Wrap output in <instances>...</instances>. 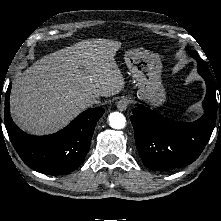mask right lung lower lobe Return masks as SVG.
Segmentation results:
<instances>
[{"mask_svg": "<svg viewBox=\"0 0 221 221\" xmlns=\"http://www.w3.org/2000/svg\"><path fill=\"white\" fill-rule=\"evenodd\" d=\"M10 90L11 84L5 96L4 123L9 138L24 163L33 170L48 175L68 174L78 168L84 162L96 123L104 114V109L91 108L84 111L55 134L32 136L20 130L10 117Z\"/></svg>", "mask_w": 221, "mask_h": 221, "instance_id": "right-lung-lower-lobe-1", "label": "right lung lower lobe"}]
</instances>
